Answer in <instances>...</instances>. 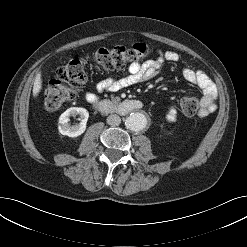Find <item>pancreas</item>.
<instances>
[{"mask_svg":"<svg viewBox=\"0 0 247 247\" xmlns=\"http://www.w3.org/2000/svg\"><path fill=\"white\" fill-rule=\"evenodd\" d=\"M111 101L113 103H118L120 101V97L111 95Z\"/></svg>","mask_w":247,"mask_h":247,"instance_id":"obj_1","label":"pancreas"}]
</instances>
